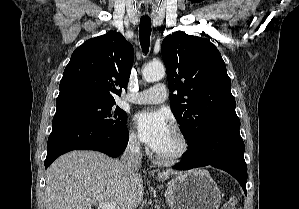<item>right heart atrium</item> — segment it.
I'll return each instance as SVG.
<instances>
[{
    "label": "right heart atrium",
    "mask_w": 299,
    "mask_h": 209,
    "mask_svg": "<svg viewBox=\"0 0 299 209\" xmlns=\"http://www.w3.org/2000/svg\"><path fill=\"white\" fill-rule=\"evenodd\" d=\"M128 146L133 150L140 149V141L134 132H130L128 136Z\"/></svg>",
    "instance_id": "d8ad5b80"
}]
</instances>
